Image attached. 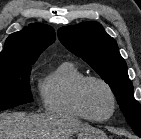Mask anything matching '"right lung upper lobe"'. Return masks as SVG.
I'll return each mask as SVG.
<instances>
[{
	"label": "right lung upper lobe",
	"instance_id": "obj_1",
	"mask_svg": "<svg viewBox=\"0 0 141 139\" xmlns=\"http://www.w3.org/2000/svg\"><path fill=\"white\" fill-rule=\"evenodd\" d=\"M54 40L55 32L51 26L30 24L6 39L0 53V67L33 64Z\"/></svg>",
	"mask_w": 141,
	"mask_h": 139
}]
</instances>
